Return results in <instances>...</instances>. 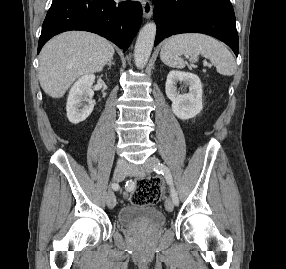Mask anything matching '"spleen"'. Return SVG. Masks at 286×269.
I'll return each instance as SVG.
<instances>
[{"label": "spleen", "instance_id": "1", "mask_svg": "<svg viewBox=\"0 0 286 269\" xmlns=\"http://www.w3.org/2000/svg\"><path fill=\"white\" fill-rule=\"evenodd\" d=\"M190 56L192 62L198 61L199 56L209 59L221 75H233L236 71L235 60L226 48L218 40L199 33H186L174 35L166 40L160 58L164 64L172 68L185 67L181 55Z\"/></svg>", "mask_w": 286, "mask_h": 269}]
</instances>
